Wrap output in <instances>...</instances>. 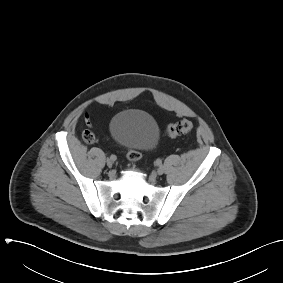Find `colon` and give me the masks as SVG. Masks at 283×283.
<instances>
[{
	"mask_svg": "<svg viewBox=\"0 0 283 283\" xmlns=\"http://www.w3.org/2000/svg\"><path fill=\"white\" fill-rule=\"evenodd\" d=\"M193 128V123L189 120L184 119L167 125V127L165 128V134L169 137H176L179 135L190 133ZM83 139L87 143H92L94 141V135L90 131H85L83 133ZM127 158L131 162H138L141 158V155L136 150H129L127 152Z\"/></svg>",
	"mask_w": 283,
	"mask_h": 283,
	"instance_id": "5ec220e1",
	"label": "colon"
}]
</instances>
